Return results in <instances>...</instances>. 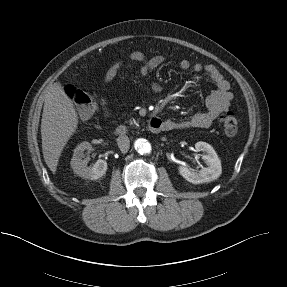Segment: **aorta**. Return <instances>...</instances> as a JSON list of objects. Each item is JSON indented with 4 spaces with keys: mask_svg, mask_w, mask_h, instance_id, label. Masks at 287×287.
<instances>
[{
    "mask_svg": "<svg viewBox=\"0 0 287 287\" xmlns=\"http://www.w3.org/2000/svg\"><path fill=\"white\" fill-rule=\"evenodd\" d=\"M134 148L141 155L149 154L152 150L150 142L144 138H139L135 140Z\"/></svg>",
    "mask_w": 287,
    "mask_h": 287,
    "instance_id": "obj_1",
    "label": "aorta"
}]
</instances>
